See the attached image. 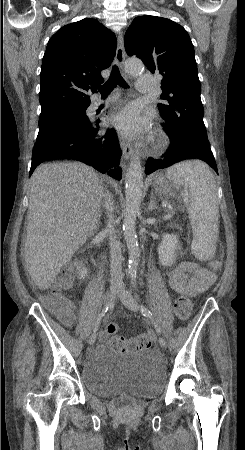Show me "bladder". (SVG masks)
Here are the masks:
<instances>
[{"label":"bladder","mask_w":245,"mask_h":450,"mask_svg":"<svg viewBox=\"0 0 245 450\" xmlns=\"http://www.w3.org/2000/svg\"><path fill=\"white\" fill-rule=\"evenodd\" d=\"M81 379L87 391L98 397L120 390L155 396L164 383V370L155 359L141 354H106L83 363Z\"/></svg>","instance_id":"31cf9c89"}]
</instances>
